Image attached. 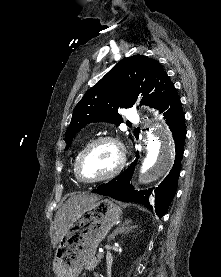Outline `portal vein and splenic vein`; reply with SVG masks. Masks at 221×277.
<instances>
[{"label":"portal vein and splenic vein","instance_id":"18ae733b","mask_svg":"<svg viewBox=\"0 0 221 277\" xmlns=\"http://www.w3.org/2000/svg\"><path fill=\"white\" fill-rule=\"evenodd\" d=\"M98 257H100V258H101V257H103L102 252H100V251H99V253H98Z\"/></svg>","mask_w":221,"mask_h":277}]
</instances>
